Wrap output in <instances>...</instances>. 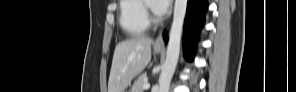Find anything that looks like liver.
<instances>
[{"label": "liver", "instance_id": "liver-1", "mask_svg": "<svg viewBox=\"0 0 296 92\" xmlns=\"http://www.w3.org/2000/svg\"><path fill=\"white\" fill-rule=\"evenodd\" d=\"M152 40L144 35L134 36L115 47L108 81V92H124L132 79L151 60Z\"/></svg>", "mask_w": 296, "mask_h": 92}]
</instances>
